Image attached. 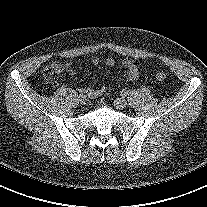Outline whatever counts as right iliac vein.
Masks as SVG:
<instances>
[{"label": "right iliac vein", "instance_id": "63e3f726", "mask_svg": "<svg viewBox=\"0 0 207 207\" xmlns=\"http://www.w3.org/2000/svg\"><path fill=\"white\" fill-rule=\"evenodd\" d=\"M86 100H87V98H86L85 95H80V96H79V102H80L82 105H84V104L86 103Z\"/></svg>", "mask_w": 207, "mask_h": 207}]
</instances>
